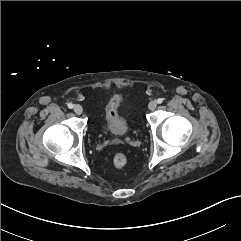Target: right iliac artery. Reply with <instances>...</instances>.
Listing matches in <instances>:
<instances>
[{
	"instance_id": "obj_1",
	"label": "right iliac artery",
	"mask_w": 241,
	"mask_h": 241,
	"mask_svg": "<svg viewBox=\"0 0 241 241\" xmlns=\"http://www.w3.org/2000/svg\"><path fill=\"white\" fill-rule=\"evenodd\" d=\"M68 108L72 109L74 107V105L72 103H69L68 105Z\"/></svg>"
}]
</instances>
